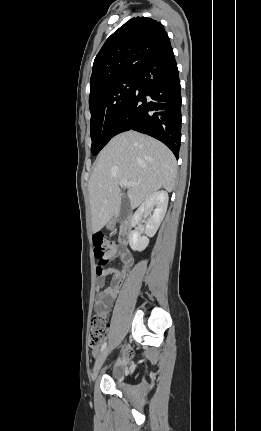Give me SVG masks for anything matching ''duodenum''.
I'll return each instance as SVG.
<instances>
[{
	"label": "duodenum",
	"instance_id": "1",
	"mask_svg": "<svg viewBox=\"0 0 261 431\" xmlns=\"http://www.w3.org/2000/svg\"><path fill=\"white\" fill-rule=\"evenodd\" d=\"M130 229H131L130 220L129 218H127L121 225V230H120V241L124 245H127L130 241Z\"/></svg>",
	"mask_w": 261,
	"mask_h": 431
}]
</instances>
